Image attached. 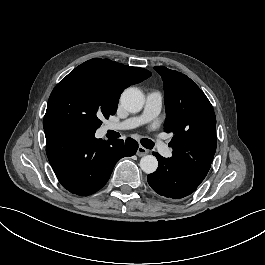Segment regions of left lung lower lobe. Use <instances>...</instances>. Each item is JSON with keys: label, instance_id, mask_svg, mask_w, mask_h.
Segmentation results:
<instances>
[{"label": "left lung lower lobe", "instance_id": "0a47b994", "mask_svg": "<svg viewBox=\"0 0 265 265\" xmlns=\"http://www.w3.org/2000/svg\"><path fill=\"white\" fill-rule=\"evenodd\" d=\"M158 169L148 175L150 187L159 195L172 199H180L192 194L201 182L186 173L178 165L171 163L157 152Z\"/></svg>", "mask_w": 265, "mask_h": 265}]
</instances>
